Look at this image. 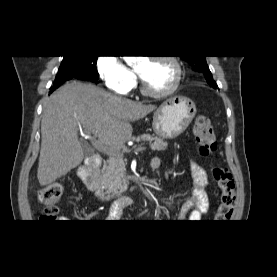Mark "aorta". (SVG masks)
I'll list each match as a JSON object with an SVG mask.
<instances>
[{"label":"aorta","instance_id":"obj_1","mask_svg":"<svg viewBox=\"0 0 277 277\" xmlns=\"http://www.w3.org/2000/svg\"><path fill=\"white\" fill-rule=\"evenodd\" d=\"M125 60L129 64H134L137 60H139V56H125Z\"/></svg>","mask_w":277,"mask_h":277}]
</instances>
